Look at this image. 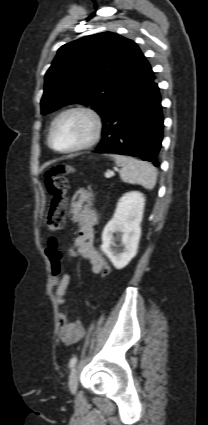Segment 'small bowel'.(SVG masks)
I'll list each match as a JSON object with an SVG mask.
<instances>
[{"mask_svg":"<svg viewBox=\"0 0 208 425\" xmlns=\"http://www.w3.org/2000/svg\"><path fill=\"white\" fill-rule=\"evenodd\" d=\"M70 219L78 223V235L73 242L75 253L90 262L94 273L100 274L102 268L108 264L94 245V229L97 218L94 210V196L89 189L80 188L75 192L72 198ZM70 278L71 274L63 271L57 277H53L54 294L59 305L64 303ZM59 333L62 342L71 345L83 337L85 329L81 321L71 322L67 313L62 311L59 314Z\"/></svg>","mask_w":208,"mask_h":425,"instance_id":"1","label":"small bowel"}]
</instances>
